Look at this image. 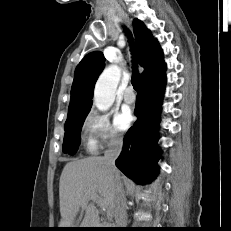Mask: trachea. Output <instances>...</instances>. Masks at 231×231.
<instances>
[{
  "label": "trachea",
  "mask_w": 231,
  "mask_h": 231,
  "mask_svg": "<svg viewBox=\"0 0 231 231\" xmlns=\"http://www.w3.org/2000/svg\"><path fill=\"white\" fill-rule=\"evenodd\" d=\"M125 32H126V35L129 38V42L132 43L133 39H132L131 32L127 28H125ZM131 83H132L135 90L139 89L140 77H139V73L137 72V64H136L135 60H133V75H132V78H131Z\"/></svg>",
  "instance_id": "obj_1"
}]
</instances>
